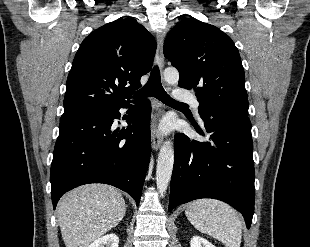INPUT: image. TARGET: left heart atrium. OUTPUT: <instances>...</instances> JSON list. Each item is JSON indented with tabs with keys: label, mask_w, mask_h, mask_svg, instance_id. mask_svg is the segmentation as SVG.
I'll use <instances>...</instances> for the list:
<instances>
[{
	"label": "left heart atrium",
	"mask_w": 310,
	"mask_h": 247,
	"mask_svg": "<svg viewBox=\"0 0 310 247\" xmlns=\"http://www.w3.org/2000/svg\"><path fill=\"white\" fill-rule=\"evenodd\" d=\"M163 130H167L168 129V124L167 123H164L163 126H162Z\"/></svg>",
	"instance_id": "obj_1"
}]
</instances>
